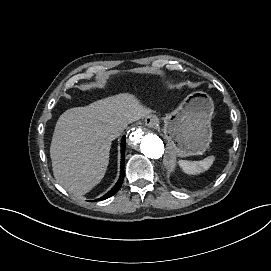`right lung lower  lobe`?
<instances>
[{"label": "right lung lower lobe", "instance_id": "right-lung-lower-lobe-1", "mask_svg": "<svg viewBox=\"0 0 271 271\" xmlns=\"http://www.w3.org/2000/svg\"><path fill=\"white\" fill-rule=\"evenodd\" d=\"M125 142H126L125 137H123L122 142H121V174H120L119 180L117 181L116 185L109 192H107L103 197L98 198L94 201H100V200H105L107 198H110L111 196L116 194L118 192V190L120 189L122 182H123V179H124Z\"/></svg>", "mask_w": 271, "mask_h": 271}]
</instances>
